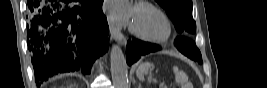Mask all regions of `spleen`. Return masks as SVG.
Instances as JSON below:
<instances>
[{"mask_svg":"<svg viewBox=\"0 0 267 88\" xmlns=\"http://www.w3.org/2000/svg\"><path fill=\"white\" fill-rule=\"evenodd\" d=\"M149 65H150L149 63H143L138 67L136 75L140 80L144 81V74L146 73V68ZM173 71L175 74L176 82L180 83L182 85V88H186L187 76L185 75V73L180 71L176 66L173 67Z\"/></svg>","mask_w":267,"mask_h":88,"instance_id":"3e777b00","label":"spleen"}]
</instances>
